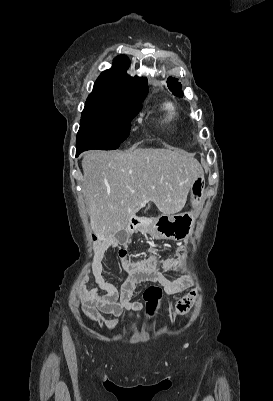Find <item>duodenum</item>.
Here are the masks:
<instances>
[{"instance_id":"410a0bca","label":"duodenum","mask_w":273,"mask_h":401,"mask_svg":"<svg viewBox=\"0 0 273 401\" xmlns=\"http://www.w3.org/2000/svg\"><path fill=\"white\" fill-rule=\"evenodd\" d=\"M146 223V219L139 217V216H133L131 218V220L129 221L128 225H127V230L129 232H134L136 231L138 228L144 226Z\"/></svg>"}]
</instances>
